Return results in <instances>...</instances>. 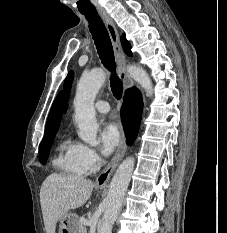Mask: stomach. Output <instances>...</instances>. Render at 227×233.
<instances>
[{"instance_id":"0dacf381","label":"stomach","mask_w":227,"mask_h":233,"mask_svg":"<svg viewBox=\"0 0 227 233\" xmlns=\"http://www.w3.org/2000/svg\"><path fill=\"white\" fill-rule=\"evenodd\" d=\"M78 223V216L75 213H67L60 220L59 233H77Z\"/></svg>"}]
</instances>
